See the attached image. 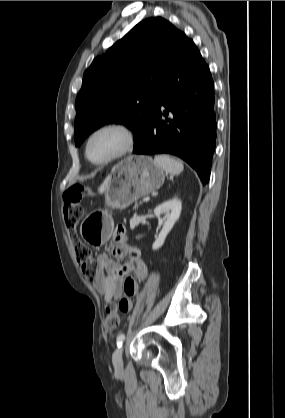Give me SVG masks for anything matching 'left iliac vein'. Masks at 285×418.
<instances>
[{
    "mask_svg": "<svg viewBox=\"0 0 285 418\" xmlns=\"http://www.w3.org/2000/svg\"><path fill=\"white\" fill-rule=\"evenodd\" d=\"M123 346L118 347L113 354V365L116 371L123 369Z\"/></svg>",
    "mask_w": 285,
    "mask_h": 418,
    "instance_id": "4c4485c4",
    "label": "left iliac vein"
}]
</instances>
